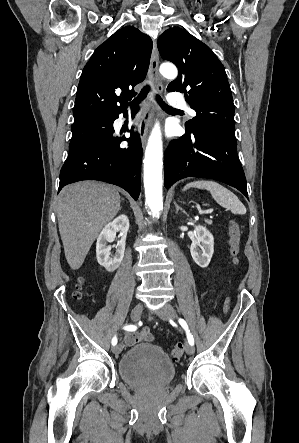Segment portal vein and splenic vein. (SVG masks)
I'll use <instances>...</instances> for the list:
<instances>
[{
  "label": "portal vein and splenic vein",
  "instance_id": "1",
  "mask_svg": "<svg viewBox=\"0 0 299 443\" xmlns=\"http://www.w3.org/2000/svg\"><path fill=\"white\" fill-rule=\"evenodd\" d=\"M212 212H213V209L199 211L200 214H209V213H212Z\"/></svg>",
  "mask_w": 299,
  "mask_h": 443
}]
</instances>
